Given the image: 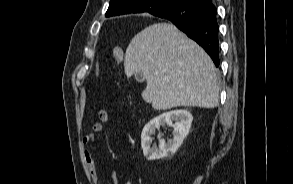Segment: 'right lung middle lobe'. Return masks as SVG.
Returning a JSON list of instances; mask_svg holds the SVG:
<instances>
[{
  "label": "right lung middle lobe",
  "instance_id": "obj_1",
  "mask_svg": "<svg viewBox=\"0 0 293 184\" xmlns=\"http://www.w3.org/2000/svg\"><path fill=\"white\" fill-rule=\"evenodd\" d=\"M170 1L167 0H157L153 2V7L156 10H163L168 7Z\"/></svg>",
  "mask_w": 293,
  "mask_h": 184
}]
</instances>
